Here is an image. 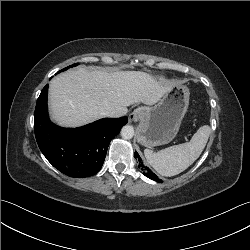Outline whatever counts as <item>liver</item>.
<instances>
[{
    "mask_svg": "<svg viewBox=\"0 0 250 250\" xmlns=\"http://www.w3.org/2000/svg\"><path fill=\"white\" fill-rule=\"evenodd\" d=\"M176 86L142 71L89 70L80 67L55 77L49 85L50 114L61 126L78 127L105 117L122 116L136 103L154 105Z\"/></svg>",
    "mask_w": 250,
    "mask_h": 250,
    "instance_id": "1",
    "label": "liver"
}]
</instances>
